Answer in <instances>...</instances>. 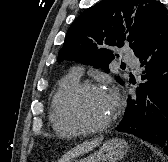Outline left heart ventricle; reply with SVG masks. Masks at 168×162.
Returning a JSON list of instances; mask_svg holds the SVG:
<instances>
[{"label":"left heart ventricle","mask_w":168,"mask_h":162,"mask_svg":"<svg viewBox=\"0 0 168 162\" xmlns=\"http://www.w3.org/2000/svg\"><path fill=\"white\" fill-rule=\"evenodd\" d=\"M73 112L86 124L104 123L111 115L114 106L106 93L85 91L72 102Z\"/></svg>","instance_id":"obj_1"}]
</instances>
